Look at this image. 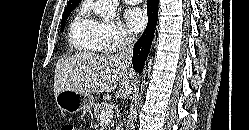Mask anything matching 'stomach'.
Returning a JSON list of instances; mask_svg holds the SVG:
<instances>
[{
    "label": "stomach",
    "instance_id": "obj_1",
    "mask_svg": "<svg viewBox=\"0 0 249 130\" xmlns=\"http://www.w3.org/2000/svg\"><path fill=\"white\" fill-rule=\"evenodd\" d=\"M55 101L60 110L70 114L91 110L95 105L94 97L90 93L72 90L61 91L55 96Z\"/></svg>",
    "mask_w": 249,
    "mask_h": 130
}]
</instances>
